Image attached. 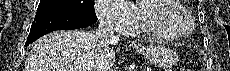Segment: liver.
<instances>
[{
    "mask_svg": "<svg viewBox=\"0 0 230 71\" xmlns=\"http://www.w3.org/2000/svg\"><path fill=\"white\" fill-rule=\"evenodd\" d=\"M111 44L92 32L56 31L33 44L25 71H110L115 62Z\"/></svg>",
    "mask_w": 230,
    "mask_h": 71,
    "instance_id": "obj_1",
    "label": "liver"
}]
</instances>
